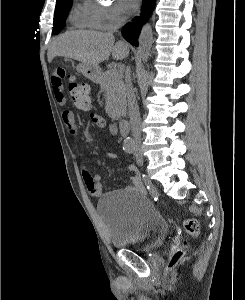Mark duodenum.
Returning <instances> with one entry per match:
<instances>
[{
  "label": "duodenum",
  "instance_id": "410a0bca",
  "mask_svg": "<svg viewBox=\"0 0 245 300\" xmlns=\"http://www.w3.org/2000/svg\"><path fill=\"white\" fill-rule=\"evenodd\" d=\"M119 130L121 134L126 135L129 130V123L128 120L125 118H120L119 120Z\"/></svg>",
  "mask_w": 245,
  "mask_h": 300
}]
</instances>
